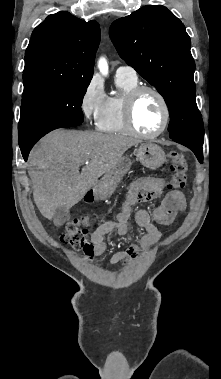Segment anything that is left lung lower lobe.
Here are the masks:
<instances>
[{
    "label": "left lung lower lobe",
    "instance_id": "left-lung-lower-lobe-1",
    "mask_svg": "<svg viewBox=\"0 0 221 379\" xmlns=\"http://www.w3.org/2000/svg\"><path fill=\"white\" fill-rule=\"evenodd\" d=\"M173 141L180 143L189 149H191L196 157L198 158L199 162L202 163L203 161V149L201 145L195 144L193 142L187 141V140H182V139H172Z\"/></svg>",
    "mask_w": 221,
    "mask_h": 379
}]
</instances>
